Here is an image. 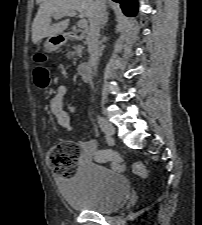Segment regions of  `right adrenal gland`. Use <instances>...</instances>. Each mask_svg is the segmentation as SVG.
<instances>
[{"mask_svg":"<svg viewBox=\"0 0 202 225\" xmlns=\"http://www.w3.org/2000/svg\"><path fill=\"white\" fill-rule=\"evenodd\" d=\"M108 16H109V13H106V14H105V18H104V20H103V22H102V24H101V28H102V29L106 26V24H107V22H108Z\"/></svg>","mask_w":202,"mask_h":225,"instance_id":"1","label":"right adrenal gland"}]
</instances>
